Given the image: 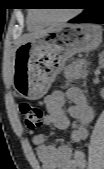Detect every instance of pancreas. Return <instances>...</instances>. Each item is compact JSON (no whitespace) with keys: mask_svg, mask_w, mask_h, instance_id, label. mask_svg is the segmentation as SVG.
<instances>
[{"mask_svg":"<svg viewBox=\"0 0 104 169\" xmlns=\"http://www.w3.org/2000/svg\"><path fill=\"white\" fill-rule=\"evenodd\" d=\"M64 74L68 80L85 77L87 74V63L85 61L82 62V60L73 61L65 68Z\"/></svg>","mask_w":104,"mask_h":169,"instance_id":"obj_1","label":"pancreas"}]
</instances>
